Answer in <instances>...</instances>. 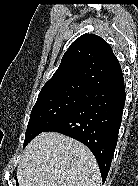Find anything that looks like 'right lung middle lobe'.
Here are the masks:
<instances>
[{"instance_id": "obj_1", "label": "right lung middle lobe", "mask_w": 138, "mask_h": 186, "mask_svg": "<svg viewBox=\"0 0 138 186\" xmlns=\"http://www.w3.org/2000/svg\"><path fill=\"white\" fill-rule=\"evenodd\" d=\"M91 91L85 86L72 85L40 92L31 111L23 147L82 104Z\"/></svg>"}]
</instances>
